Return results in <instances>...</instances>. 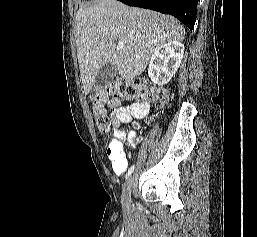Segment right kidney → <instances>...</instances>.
<instances>
[{
  "mask_svg": "<svg viewBox=\"0 0 257 237\" xmlns=\"http://www.w3.org/2000/svg\"><path fill=\"white\" fill-rule=\"evenodd\" d=\"M184 54V45L170 41L158 47L152 54L148 75L159 86L167 84L180 66Z\"/></svg>",
  "mask_w": 257,
  "mask_h": 237,
  "instance_id": "1",
  "label": "right kidney"
}]
</instances>
